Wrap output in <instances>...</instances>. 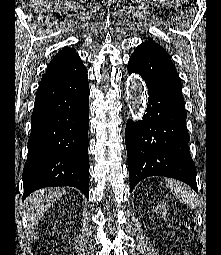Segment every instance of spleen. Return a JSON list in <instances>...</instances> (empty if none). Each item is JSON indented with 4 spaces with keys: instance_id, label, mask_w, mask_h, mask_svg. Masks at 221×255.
<instances>
[{
    "instance_id": "spleen-1",
    "label": "spleen",
    "mask_w": 221,
    "mask_h": 255,
    "mask_svg": "<svg viewBox=\"0 0 221 255\" xmlns=\"http://www.w3.org/2000/svg\"><path fill=\"white\" fill-rule=\"evenodd\" d=\"M166 186L170 188L171 192L179 199L182 204L195 208L197 199L195 193L192 192L185 184L176 180H166Z\"/></svg>"
}]
</instances>
